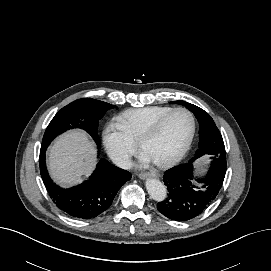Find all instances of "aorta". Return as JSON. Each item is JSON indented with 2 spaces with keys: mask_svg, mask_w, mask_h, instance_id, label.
<instances>
[{
  "mask_svg": "<svg viewBox=\"0 0 271 271\" xmlns=\"http://www.w3.org/2000/svg\"><path fill=\"white\" fill-rule=\"evenodd\" d=\"M146 189L151 198L157 202L164 201L167 196L165 185L157 179H147Z\"/></svg>",
  "mask_w": 271,
  "mask_h": 271,
  "instance_id": "obj_1",
  "label": "aorta"
}]
</instances>
